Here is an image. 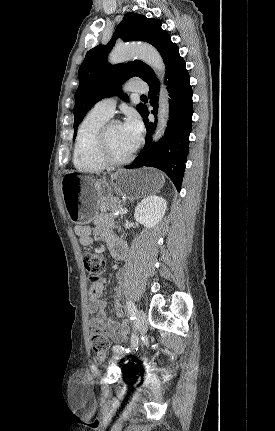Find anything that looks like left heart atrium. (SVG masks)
I'll return each mask as SVG.
<instances>
[{
    "label": "left heart atrium",
    "instance_id": "left-heart-atrium-1",
    "mask_svg": "<svg viewBox=\"0 0 275 431\" xmlns=\"http://www.w3.org/2000/svg\"><path fill=\"white\" fill-rule=\"evenodd\" d=\"M121 126L123 138L130 150L133 151L141 139L143 131L142 122L137 114L130 113Z\"/></svg>",
    "mask_w": 275,
    "mask_h": 431
}]
</instances>
